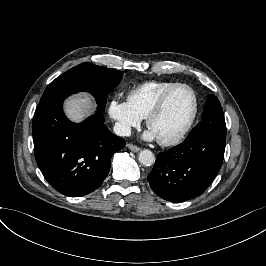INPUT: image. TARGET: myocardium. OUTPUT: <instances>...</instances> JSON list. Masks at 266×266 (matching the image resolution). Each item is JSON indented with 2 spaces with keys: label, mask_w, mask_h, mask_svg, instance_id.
Masks as SVG:
<instances>
[{
  "label": "myocardium",
  "mask_w": 266,
  "mask_h": 266,
  "mask_svg": "<svg viewBox=\"0 0 266 266\" xmlns=\"http://www.w3.org/2000/svg\"><path fill=\"white\" fill-rule=\"evenodd\" d=\"M178 88H187L191 91V93L193 94V97H194V102H195L194 112H193L191 119L187 123V125L175 137L169 138V139L157 138L158 142L160 144H163V145H175V144H178L179 142H181L182 139L193 128V126L196 122V119L198 117V114H199L200 102H199V97H198L196 90L191 85H189L187 83H177L173 87L164 91L161 94V96L158 98V100L155 102V104L151 107V109L149 110V112L146 115L147 126L150 127L151 120L163 110L165 103L168 100L169 96Z\"/></svg>",
  "instance_id": "myocardium-1"
}]
</instances>
